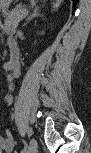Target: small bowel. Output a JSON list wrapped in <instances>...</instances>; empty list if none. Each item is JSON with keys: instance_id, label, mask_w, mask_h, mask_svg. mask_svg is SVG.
<instances>
[{"instance_id": "obj_1", "label": "small bowel", "mask_w": 91, "mask_h": 153, "mask_svg": "<svg viewBox=\"0 0 91 153\" xmlns=\"http://www.w3.org/2000/svg\"><path fill=\"white\" fill-rule=\"evenodd\" d=\"M15 74H16V72H15L14 68H12L9 71V90L13 89V84L11 83V80L13 79ZM6 102L8 104L11 103V96L10 95H8L6 97ZM0 147L5 152L13 151V149H14V140H13L11 134L8 131L6 132L5 136L0 139Z\"/></svg>"}]
</instances>
